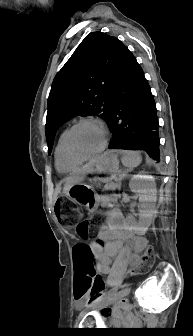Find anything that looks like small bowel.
Returning <instances> with one entry per match:
<instances>
[{"instance_id":"1","label":"small bowel","mask_w":193,"mask_h":336,"mask_svg":"<svg viewBox=\"0 0 193 336\" xmlns=\"http://www.w3.org/2000/svg\"><path fill=\"white\" fill-rule=\"evenodd\" d=\"M132 236V230L126 220L118 212H113L108 226L104 227L99 232L97 239L88 246L96 269L107 275V282L110 284H115L118 281L121 267L125 263V259L122 258L110 267V259L123 250L125 242ZM142 244V241L138 242L139 247ZM131 262L136 265L138 259L133 258ZM85 294L92 297L95 295L92 282L85 285Z\"/></svg>"}]
</instances>
